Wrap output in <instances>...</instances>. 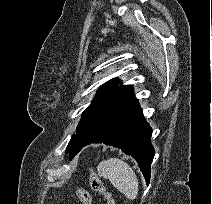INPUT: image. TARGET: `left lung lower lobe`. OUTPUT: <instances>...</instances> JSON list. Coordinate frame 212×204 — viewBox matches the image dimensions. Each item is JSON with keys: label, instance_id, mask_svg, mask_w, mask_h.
I'll list each match as a JSON object with an SVG mask.
<instances>
[{"label": "left lung lower lobe", "instance_id": "left-lung-lower-lobe-1", "mask_svg": "<svg viewBox=\"0 0 212 204\" xmlns=\"http://www.w3.org/2000/svg\"><path fill=\"white\" fill-rule=\"evenodd\" d=\"M151 133L152 129L132 94L75 138L69 151L70 158L91 143L117 147L137 161L149 184L150 165L155 153L150 142Z\"/></svg>", "mask_w": 212, "mask_h": 204}]
</instances>
